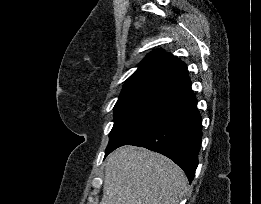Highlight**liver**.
<instances>
[{"instance_id":"6515ba94","label":"liver","mask_w":261,"mask_h":204,"mask_svg":"<svg viewBox=\"0 0 261 204\" xmlns=\"http://www.w3.org/2000/svg\"><path fill=\"white\" fill-rule=\"evenodd\" d=\"M186 186L185 173L169 158L121 147L106 160L100 204H179Z\"/></svg>"}]
</instances>
